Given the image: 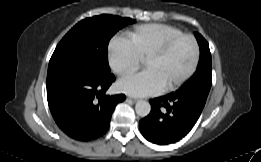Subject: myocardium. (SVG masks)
<instances>
[{
    "mask_svg": "<svg viewBox=\"0 0 261 162\" xmlns=\"http://www.w3.org/2000/svg\"><path fill=\"white\" fill-rule=\"evenodd\" d=\"M187 38L189 39L194 47V58H193V62L189 68V70L178 80H176L175 82L164 86L163 90L164 91H172L175 90L177 88H179L180 86H182L187 80H189L193 74L195 73L199 61H200V46L199 43L197 41V39L191 35V34H187V33H182L179 35H176L174 37L169 38L168 40H166L165 42H163L161 45H159L157 48H155L154 50H152L145 58V62L151 58H155V57H161L163 55H165L178 41H180L181 39Z\"/></svg>",
    "mask_w": 261,
    "mask_h": 162,
    "instance_id": "myocardium-1",
    "label": "myocardium"
}]
</instances>
